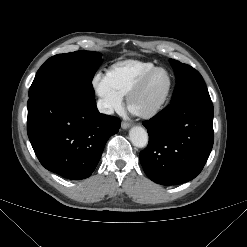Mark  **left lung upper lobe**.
I'll return each mask as SVG.
<instances>
[{
  "mask_svg": "<svg viewBox=\"0 0 247 247\" xmlns=\"http://www.w3.org/2000/svg\"><path fill=\"white\" fill-rule=\"evenodd\" d=\"M169 61L176 76V86L171 103L194 96L209 95L206 84L197 70L173 59Z\"/></svg>",
  "mask_w": 247,
  "mask_h": 247,
  "instance_id": "obj_1",
  "label": "left lung upper lobe"
}]
</instances>
